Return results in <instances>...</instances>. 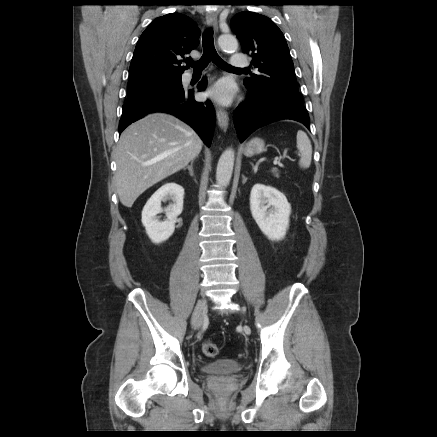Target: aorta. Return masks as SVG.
<instances>
[{
  "mask_svg": "<svg viewBox=\"0 0 437 437\" xmlns=\"http://www.w3.org/2000/svg\"><path fill=\"white\" fill-rule=\"evenodd\" d=\"M218 44L224 52H235L238 48L236 37L231 34H222L218 38ZM235 153L229 148L219 158L216 170V181L221 187H226L231 180L234 167Z\"/></svg>",
  "mask_w": 437,
  "mask_h": 437,
  "instance_id": "obj_1",
  "label": "aorta"
}]
</instances>
